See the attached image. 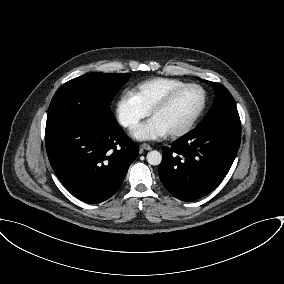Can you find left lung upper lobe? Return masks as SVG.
<instances>
[{
  "instance_id": "5c2ea615",
  "label": "left lung upper lobe",
  "mask_w": 284,
  "mask_h": 284,
  "mask_svg": "<svg viewBox=\"0 0 284 284\" xmlns=\"http://www.w3.org/2000/svg\"><path fill=\"white\" fill-rule=\"evenodd\" d=\"M205 82L214 88L216 97L211 109L198 126L224 120L240 121L234 98L230 92L219 83L207 80Z\"/></svg>"
}]
</instances>
